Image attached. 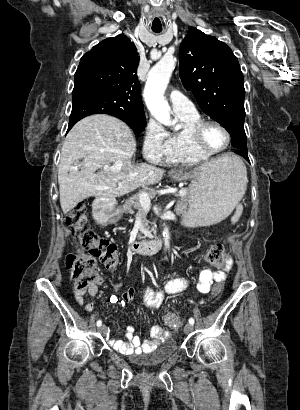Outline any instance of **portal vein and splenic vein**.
<instances>
[{
	"label": "portal vein and splenic vein",
	"mask_w": 300,
	"mask_h": 410,
	"mask_svg": "<svg viewBox=\"0 0 300 410\" xmlns=\"http://www.w3.org/2000/svg\"><path fill=\"white\" fill-rule=\"evenodd\" d=\"M121 166H122V163L116 162V163L114 164V166L112 167V170L116 172V171L120 170ZM186 194H187V192H186L185 190H183V189L179 191V196H181V197L185 196ZM139 198H140V203H141V205H142L146 210H149V209H150V205H151L149 195H148L146 192H141V193L139 194Z\"/></svg>",
	"instance_id": "1"
}]
</instances>
